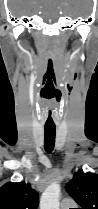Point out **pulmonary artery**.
Here are the masks:
<instances>
[{
  "label": "pulmonary artery",
  "mask_w": 98,
  "mask_h": 209,
  "mask_svg": "<svg viewBox=\"0 0 98 209\" xmlns=\"http://www.w3.org/2000/svg\"><path fill=\"white\" fill-rule=\"evenodd\" d=\"M73 205L72 199L65 198L60 203V209H70Z\"/></svg>",
  "instance_id": "1"
}]
</instances>
